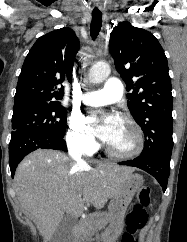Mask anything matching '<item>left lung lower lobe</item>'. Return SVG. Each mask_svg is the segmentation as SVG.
Returning <instances> with one entry per match:
<instances>
[{"label": "left lung lower lobe", "instance_id": "0a47b994", "mask_svg": "<svg viewBox=\"0 0 187 242\" xmlns=\"http://www.w3.org/2000/svg\"><path fill=\"white\" fill-rule=\"evenodd\" d=\"M171 152L166 151L152 155H140L133 160L120 162L119 164L137 167L148 172L157 179L163 192H165L170 173Z\"/></svg>", "mask_w": 187, "mask_h": 242}]
</instances>
